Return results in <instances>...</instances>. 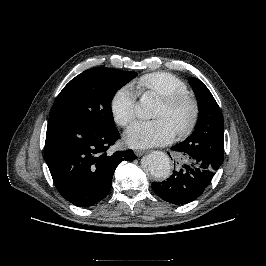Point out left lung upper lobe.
Segmentation results:
<instances>
[{
  "label": "left lung upper lobe",
  "instance_id": "5c2ea615",
  "mask_svg": "<svg viewBox=\"0 0 266 266\" xmlns=\"http://www.w3.org/2000/svg\"><path fill=\"white\" fill-rule=\"evenodd\" d=\"M199 103V119L191 136L178 144L185 152L218 164L224 158V122L221 110L209 89L197 78H189Z\"/></svg>",
  "mask_w": 266,
  "mask_h": 266
}]
</instances>
